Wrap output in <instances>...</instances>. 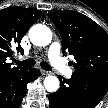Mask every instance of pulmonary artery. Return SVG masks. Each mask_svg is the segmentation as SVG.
I'll return each instance as SVG.
<instances>
[{
	"label": "pulmonary artery",
	"instance_id": "e3ab8cb5",
	"mask_svg": "<svg viewBox=\"0 0 108 108\" xmlns=\"http://www.w3.org/2000/svg\"><path fill=\"white\" fill-rule=\"evenodd\" d=\"M48 57L52 65L66 76H71L73 70L69 68L66 62L60 56V44L54 42L51 44L48 50Z\"/></svg>",
	"mask_w": 108,
	"mask_h": 108
}]
</instances>
